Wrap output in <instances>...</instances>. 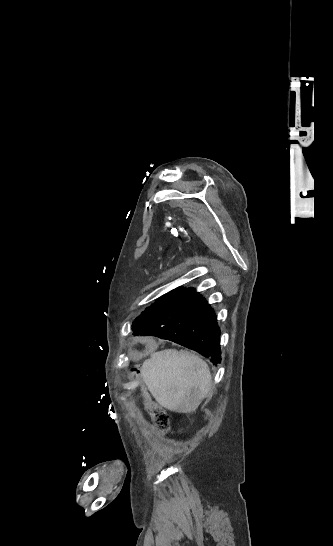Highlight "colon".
<instances>
[{
	"label": "colon",
	"mask_w": 333,
	"mask_h": 546,
	"mask_svg": "<svg viewBox=\"0 0 333 546\" xmlns=\"http://www.w3.org/2000/svg\"><path fill=\"white\" fill-rule=\"evenodd\" d=\"M130 366L133 364L131 361L128 363ZM130 378L133 380H138L140 378V367L139 366H132L129 370ZM139 392L141 397L145 402H150L152 400V395L150 394L149 388L146 384H143L140 382L139 384ZM147 410L150 414V417L154 423V426L158 430H165L169 427L170 418L168 413L159 405L155 403H148Z\"/></svg>",
	"instance_id": "5ec220e1"
}]
</instances>
